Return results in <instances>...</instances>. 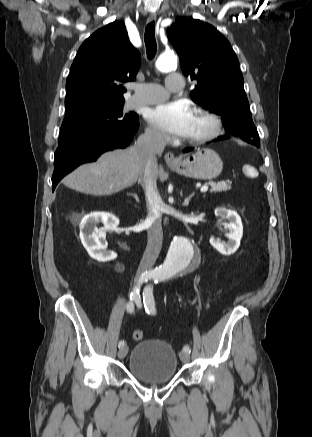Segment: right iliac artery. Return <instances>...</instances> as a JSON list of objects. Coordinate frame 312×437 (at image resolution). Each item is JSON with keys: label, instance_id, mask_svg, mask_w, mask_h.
<instances>
[{"label": "right iliac artery", "instance_id": "obj_1", "mask_svg": "<svg viewBox=\"0 0 312 437\" xmlns=\"http://www.w3.org/2000/svg\"><path fill=\"white\" fill-rule=\"evenodd\" d=\"M154 276L150 273H144L140 276L138 280V284L134 287L133 291L130 294V301L127 304V311L132 313L134 311V301L138 307H141V297H140V285L142 283L147 282ZM125 345L124 341L119 342V347H123Z\"/></svg>", "mask_w": 312, "mask_h": 437}]
</instances>
